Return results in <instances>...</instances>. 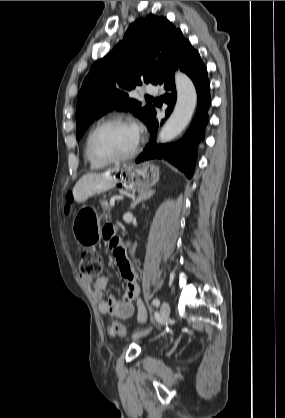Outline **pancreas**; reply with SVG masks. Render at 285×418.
Here are the masks:
<instances>
[{
    "mask_svg": "<svg viewBox=\"0 0 285 418\" xmlns=\"http://www.w3.org/2000/svg\"><path fill=\"white\" fill-rule=\"evenodd\" d=\"M102 209H103V214L101 215V216H107V214H106V212H107V210L109 209V205H108V203H106V202H103L102 203Z\"/></svg>",
    "mask_w": 285,
    "mask_h": 418,
    "instance_id": "cf45deb5",
    "label": "pancreas"
}]
</instances>
